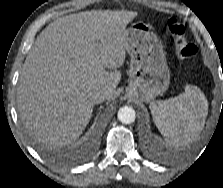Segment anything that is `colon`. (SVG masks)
I'll list each match as a JSON object with an SVG mask.
<instances>
[{"mask_svg": "<svg viewBox=\"0 0 223 188\" xmlns=\"http://www.w3.org/2000/svg\"><path fill=\"white\" fill-rule=\"evenodd\" d=\"M167 31L174 40L176 51L183 60H190L196 57L198 47L189 43L186 39V30L184 25L175 18H169L165 23Z\"/></svg>", "mask_w": 223, "mask_h": 188, "instance_id": "1", "label": "colon"}]
</instances>
